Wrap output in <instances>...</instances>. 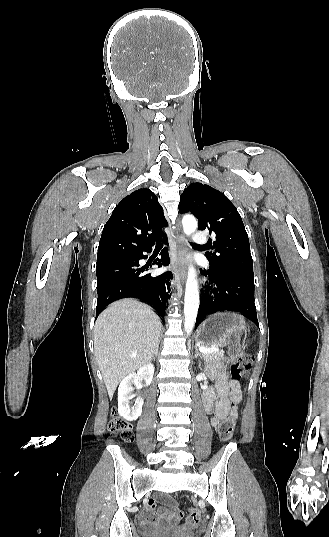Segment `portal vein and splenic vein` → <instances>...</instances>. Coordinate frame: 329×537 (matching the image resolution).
I'll use <instances>...</instances> for the list:
<instances>
[{"label": "portal vein and splenic vein", "mask_w": 329, "mask_h": 537, "mask_svg": "<svg viewBox=\"0 0 329 537\" xmlns=\"http://www.w3.org/2000/svg\"><path fill=\"white\" fill-rule=\"evenodd\" d=\"M200 350L202 352H204V353H207V352H212V351H218L219 348L215 347V346H212L211 348H202V347H200ZM133 356H135V354Z\"/></svg>", "instance_id": "obj_1"}]
</instances>
